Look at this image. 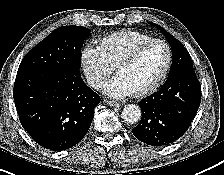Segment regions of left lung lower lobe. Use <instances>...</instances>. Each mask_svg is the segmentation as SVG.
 Wrapping results in <instances>:
<instances>
[{"label":"left lung lower lobe","mask_w":224,"mask_h":175,"mask_svg":"<svg viewBox=\"0 0 224 175\" xmlns=\"http://www.w3.org/2000/svg\"><path fill=\"white\" fill-rule=\"evenodd\" d=\"M200 103L201 86L194 70H178L158 92L138 103L142 118L133 135L152 146L170 144L187 131Z\"/></svg>","instance_id":"1"}]
</instances>
